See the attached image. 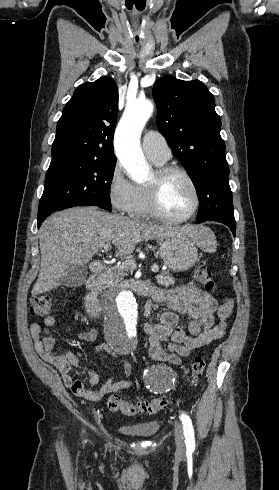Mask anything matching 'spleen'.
Segmentation results:
<instances>
[{
	"label": "spleen",
	"instance_id": "obj_1",
	"mask_svg": "<svg viewBox=\"0 0 279 490\" xmlns=\"http://www.w3.org/2000/svg\"><path fill=\"white\" fill-rule=\"evenodd\" d=\"M216 246V238L213 232H211L209 228H202L199 248H201L203 252H210V254H212V252H216Z\"/></svg>",
	"mask_w": 279,
	"mask_h": 490
}]
</instances>
